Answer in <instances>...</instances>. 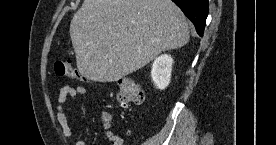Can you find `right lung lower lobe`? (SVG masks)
<instances>
[{"label":"right lung lower lobe","mask_w":276,"mask_h":145,"mask_svg":"<svg viewBox=\"0 0 276 145\" xmlns=\"http://www.w3.org/2000/svg\"><path fill=\"white\" fill-rule=\"evenodd\" d=\"M184 14L192 21L197 33L203 36L208 15V0H172Z\"/></svg>","instance_id":"98d812e1"}]
</instances>
